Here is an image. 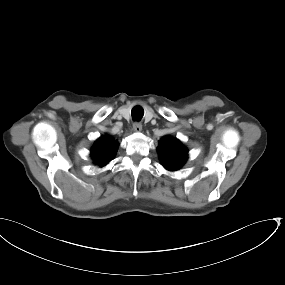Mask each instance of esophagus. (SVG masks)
Masks as SVG:
<instances>
[{"mask_svg":"<svg viewBox=\"0 0 285 285\" xmlns=\"http://www.w3.org/2000/svg\"><path fill=\"white\" fill-rule=\"evenodd\" d=\"M141 130H142V124L140 122H135L133 124V131L139 133L141 132Z\"/></svg>","mask_w":285,"mask_h":285,"instance_id":"34e87169","label":"esophagus"}]
</instances>
